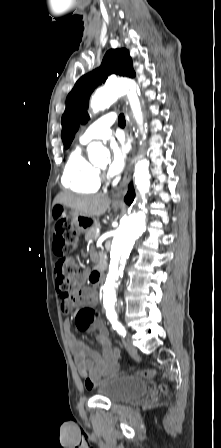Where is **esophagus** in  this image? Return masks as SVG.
Masks as SVG:
<instances>
[{
    "mask_svg": "<svg viewBox=\"0 0 221 448\" xmlns=\"http://www.w3.org/2000/svg\"><path fill=\"white\" fill-rule=\"evenodd\" d=\"M123 109L126 113V119H127L126 135H127L128 141L131 143V153H130V157L128 160V164H127L123 179L120 182L119 186L116 188L117 194L113 197V203H118V204L124 203L122 195H123V192L126 189L128 183L130 181V178H131L132 165H133V161L135 159V152H136L132 124L129 120L128 113H127V104L124 105Z\"/></svg>",
    "mask_w": 221,
    "mask_h": 448,
    "instance_id": "34e87169",
    "label": "esophagus"
}]
</instances>
